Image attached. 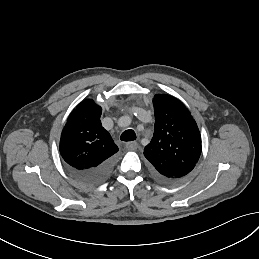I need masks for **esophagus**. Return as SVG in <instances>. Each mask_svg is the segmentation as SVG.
<instances>
[{"mask_svg": "<svg viewBox=\"0 0 259 259\" xmlns=\"http://www.w3.org/2000/svg\"><path fill=\"white\" fill-rule=\"evenodd\" d=\"M137 148H138L137 142H129V143L126 144L127 150H136Z\"/></svg>", "mask_w": 259, "mask_h": 259, "instance_id": "esophagus-1", "label": "esophagus"}]
</instances>
